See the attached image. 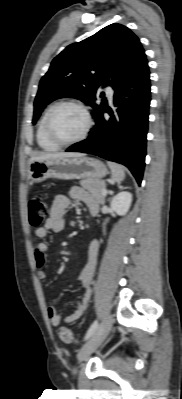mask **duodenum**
Segmentation results:
<instances>
[{"instance_id": "1", "label": "duodenum", "mask_w": 182, "mask_h": 399, "mask_svg": "<svg viewBox=\"0 0 182 399\" xmlns=\"http://www.w3.org/2000/svg\"><path fill=\"white\" fill-rule=\"evenodd\" d=\"M96 212H97V211H95V210H91V213H92V214H95Z\"/></svg>"}]
</instances>
